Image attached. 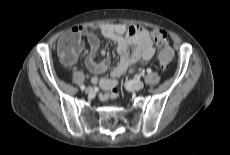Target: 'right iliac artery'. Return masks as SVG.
<instances>
[{
    "label": "right iliac artery",
    "instance_id": "82829eb1",
    "mask_svg": "<svg viewBox=\"0 0 230 155\" xmlns=\"http://www.w3.org/2000/svg\"><path fill=\"white\" fill-rule=\"evenodd\" d=\"M80 88H81V90H84V89H85V86H84V85H81Z\"/></svg>",
    "mask_w": 230,
    "mask_h": 155
}]
</instances>
